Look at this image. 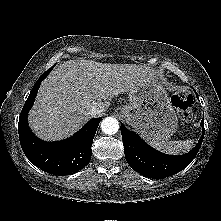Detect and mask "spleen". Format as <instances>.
I'll return each mask as SVG.
<instances>
[{
	"mask_svg": "<svg viewBox=\"0 0 221 221\" xmlns=\"http://www.w3.org/2000/svg\"><path fill=\"white\" fill-rule=\"evenodd\" d=\"M150 144L167 154H182L188 152L194 145L193 140L178 141H151Z\"/></svg>",
	"mask_w": 221,
	"mask_h": 221,
	"instance_id": "obj_1",
	"label": "spleen"
}]
</instances>
